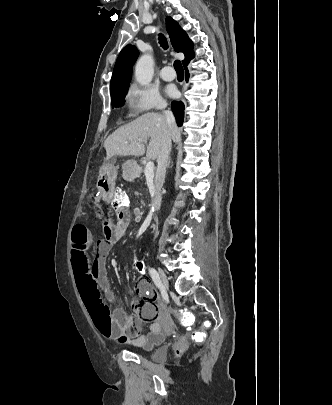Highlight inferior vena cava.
I'll use <instances>...</instances> for the list:
<instances>
[{
	"label": "inferior vena cava",
	"instance_id": "inferior-vena-cava-1",
	"mask_svg": "<svg viewBox=\"0 0 332 405\" xmlns=\"http://www.w3.org/2000/svg\"><path fill=\"white\" fill-rule=\"evenodd\" d=\"M166 106L167 105L164 102H161L158 104V109L164 110L163 114H164L166 125H167V131L164 134L160 153L157 158V171H156V176H155V193H154V197H153V204H154L155 210H157V211L161 207V200H162L161 188H162L164 180H165L166 167L168 164L169 153L171 150V132L173 131L174 127L176 126L174 115L171 111L165 110Z\"/></svg>",
	"mask_w": 332,
	"mask_h": 405
}]
</instances>
